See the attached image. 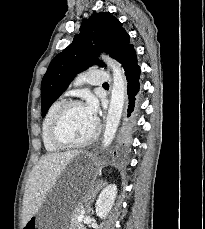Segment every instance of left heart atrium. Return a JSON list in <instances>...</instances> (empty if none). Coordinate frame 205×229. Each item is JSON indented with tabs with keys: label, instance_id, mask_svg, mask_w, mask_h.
Returning <instances> with one entry per match:
<instances>
[{
	"label": "left heart atrium",
	"instance_id": "1",
	"mask_svg": "<svg viewBox=\"0 0 205 229\" xmlns=\"http://www.w3.org/2000/svg\"><path fill=\"white\" fill-rule=\"evenodd\" d=\"M85 109L89 113V115L96 120V114L98 110L97 102L94 97L89 96L87 98L86 104H85Z\"/></svg>",
	"mask_w": 205,
	"mask_h": 229
}]
</instances>
